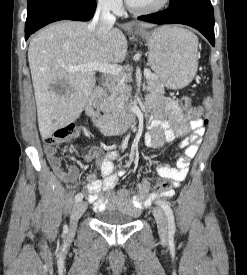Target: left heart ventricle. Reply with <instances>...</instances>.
Segmentation results:
<instances>
[{"label": "left heart ventricle", "instance_id": "b2bd125f", "mask_svg": "<svg viewBox=\"0 0 247 275\" xmlns=\"http://www.w3.org/2000/svg\"><path fill=\"white\" fill-rule=\"evenodd\" d=\"M135 8H150L161 3L162 0H129Z\"/></svg>", "mask_w": 247, "mask_h": 275}]
</instances>
